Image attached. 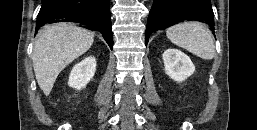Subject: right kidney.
<instances>
[{
	"instance_id": "right-kidney-1",
	"label": "right kidney",
	"mask_w": 257,
	"mask_h": 130,
	"mask_svg": "<svg viewBox=\"0 0 257 130\" xmlns=\"http://www.w3.org/2000/svg\"><path fill=\"white\" fill-rule=\"evenodd\" d=\"M95 71L96 59L93 56L86 57L72 68L68 85L77 90L85 88L93 78Z\"/></svg>"
}]
</instances>
